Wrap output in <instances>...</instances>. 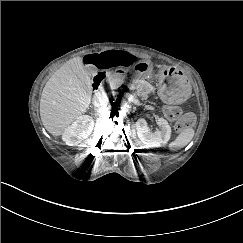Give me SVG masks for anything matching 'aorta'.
<instances>
[{
    "label": "aorta",
    "mask_w": 243,
    "mask_h": 243,
    "mask_svg": "<svg viewBox=\"0 0 243 243\" xmlns=\"http://www.w3.org/2000/svg\"><path fill=\"white\" fill-rule=\"evenodd\" d=\"M126 103H127L126 98L122 95H117L113 99L114 106L120 109L124 108L126 106Z\"/></svg>",
    "instance_id": "1"
}]
</instances>
